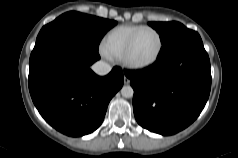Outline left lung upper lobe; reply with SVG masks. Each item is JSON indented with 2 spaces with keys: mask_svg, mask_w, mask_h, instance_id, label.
<instances>
[{
  "mask_svg": "<svg viewBox=\"0 0 238 158\" xmlns=\"http://www.w3.org/2000/svg\"><path fill=\"white\" fill-rule=\"evenodd\" d=\"M149 25L160 35L163 46L159 54L166 52L180 43L200 37L197 32L186 28L179 22H150Z\"/></svg>",
  "mask_w": 238,
  "mask_h": 158,
  "instance_id": "left-lung-upper-lobe-1",
  "label": "left lung upper lobe"
}]
</instances>
